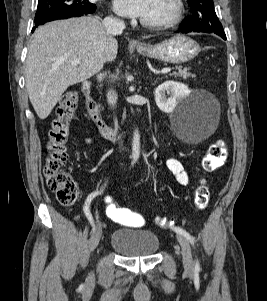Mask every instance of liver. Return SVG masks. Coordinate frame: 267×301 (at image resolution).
Instances as JSON below:
<instances>
[{
    "label": "liver",
    "mask_w": 267,
    "mask_h": 301,
    "mask_svg": "<svg viewBox=\"0 0 267 301\" xmlns=\"http://www.w3.org/2000/svg\"><path fill=\"white\" fill-rule=\"evenodd\" d=\"M117 52V40L93 16L39 27L25 63L27 93L38 117L46 119L69 86L97 74ZM75 59L80 62L73 66Z\"/></svg>",
    "instance_id": "1"
}]
</instances>
